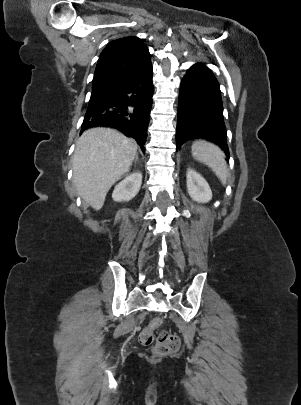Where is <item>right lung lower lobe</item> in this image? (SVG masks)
<instances>
[{
	"instance_id": "98d812e1",
	"label": "right lung lower lobe",
	"mask_w": 301,
	"mask_h": 405,
	"mask_svg": "<svg viewBox=\"0 0 301 405\" xmlns=\"http://www.w3.org/2000/svg\"><path fill=\"white\" fill-rule=\"evenodd\" d=\"M153 91L150 59L108 98L88 107L81 132L99 126L115 128L133 137L144 152Z\"/></svg>"
}]
</instances>
